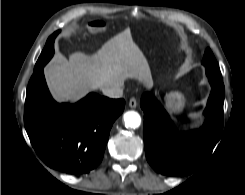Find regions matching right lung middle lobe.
<instances>
[{"instance_id":"right-lung-middle-lobe-1","label":"right lung middle lobe","mask_w":245,"mask_h":195,"mask_svg":"<svg viewBox=\"0 0 245 195\" xmlns=\"http://www.w3.org/2000/svg\"><path fill=\"white\" fill-rule=\"evenodd\" d=\"M58 33L53 35V40H47L44 50L42 51L36 65L34 68V72L43 68L45 64L52 58L54 54V39Z\"/></svg>"}]
</instances>
